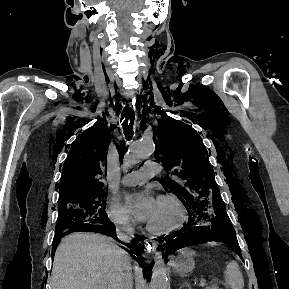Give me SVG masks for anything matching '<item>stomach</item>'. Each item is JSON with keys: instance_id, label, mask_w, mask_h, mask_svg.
<instances>
[{"instance_id": "stomach-1", "label": "stomach", "mask_w": 289, "mask_h": 289, "mask_svg": "<svg viewBox=\"0 0 289 289\" xmlns=\"http://www.w3.org/2000/svg\"><path fill=\"white\" fill-rule=\"evenodd\" d=\"M194 252L191 249H183L174 261V269L179 274L190 273L195 267L193 258Z\"/></svg>"}]
</instances>
